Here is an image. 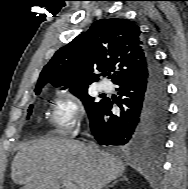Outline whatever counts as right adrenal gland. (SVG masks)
Masks as SVG:
<instances>
[{
    "instance_id": "right-adrenal-gland-1",
    "label": "right adrenal gland",
    "mask_w": 188,
    "mask_h": 189,
    "mask_svg": "<svg viewBox=\"0 0 188 189\" xmlns=\"http://www.w3.org/2000/svg\"><path fill=\"white\" fill-rule=\"evenodd\" d=\"M120 180H125V181H127V178H126V177H123V178H121ZM116 182H118V180H115L114 182H112V184L107 185L105 189H108L109 187H112L114 184H116Z\"/></svg>"
}]
</instances>
